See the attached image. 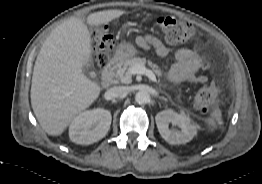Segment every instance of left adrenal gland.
<instances>
[{
    "instance_id": "obj_1",
    "label": "left adrenal gland",
    "mask_w": 262,
    "mask_h": 184,
    "mask_svg": "<svg viewBox=\"0 0 262 184\" xmlns=\"http://www.w3.org/2000/svg\"><path fill=\"white\" fill-rule=\"evenodd\" d=\"M159 99H163V100L167 101V99H166V98H164V97H159Z\"/></svg>"
}]
</instances>
